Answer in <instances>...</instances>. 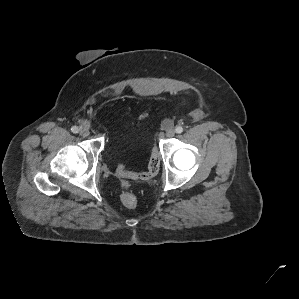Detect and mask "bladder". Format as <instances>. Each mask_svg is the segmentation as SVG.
Here are the masks:
<instances>
[{"instance_id": "1", "label": "bladder", "mask_w": 299, "mask_h": 299, "mask_svg": "<svg viewBox=\"0 0 299 299\" xmlns=\"http://www.w3.org/2000/svg\"><path fill=\"white\" fill-rule=\"evenodd\" d=\"M115 135L117 137H119L120 135H123V133L119 130H117L115 132ZM124 138H128L129 139V142L131 143V145H138V144H141L142 143V140L140 137L136 136V137H132V138H129L127 135H123ZM114 143H115V140L114 138L111 139V141L109 142L108 146L110 148H113L114 147Z\"/></svg>"}]
</instances>
